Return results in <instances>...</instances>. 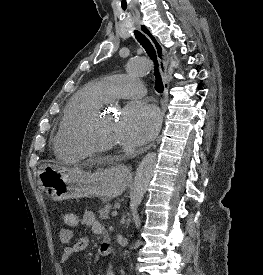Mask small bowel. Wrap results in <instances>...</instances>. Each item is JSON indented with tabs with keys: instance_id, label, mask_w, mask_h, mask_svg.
<instances>
[{
	"instance_id": "obj_1",
	"label": "small bowel",
	"mask_w": 263,
	"mask_h": 275,
	"mask_svg": "<svg viewBox=\"0 0 263 275\" xmlns=\"http://www.w3.org/2000/svg\"><path fill=\"white\" fill-rule=\"evenodd\" d=\"M82 223L86 227L90 228V230L95 235H99V236L106 235L105 227L100 221L97 220L93 212L91 211L85 212L82 217ZM58 237L60 242L65 245L60 258V263L62 265H69L70 258L73 255L85 250L88 247L90 242L88 237H81L76 242L72 243L74 238V232L70 227L60 229L58 232ZM98 253L100 256H104V257L110 255L111 249H110V244L108 240H104L101 243L98 249ZM106 275H115V273L112 268H109L106 272Z\"/></svg>"
}]
</instances>
